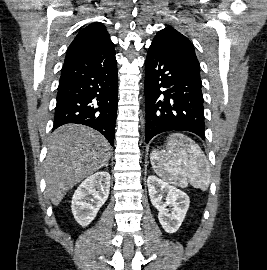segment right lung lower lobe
I'll return each mask as SVG.
<instances>
[{
    "label": "right lung lower lobe",
    "mask_w": 267,
    "mask_h": 270,
    "mask_svg": "<svg viewBox=\"0 0 267 270\" xmlns=\"http://www.w3.org/2000/svg\"><path fill=\"white\" fill-rule=\"evenodd\" d=\"M117 62L110 45L65 61L58 86L53 130L67 123L90 126L114 143Z\"/></svg>",
    "instance_id": "obj_1"
}]
</instances>
